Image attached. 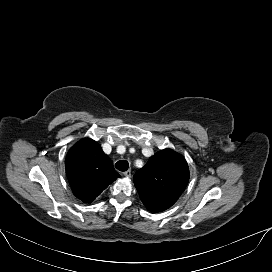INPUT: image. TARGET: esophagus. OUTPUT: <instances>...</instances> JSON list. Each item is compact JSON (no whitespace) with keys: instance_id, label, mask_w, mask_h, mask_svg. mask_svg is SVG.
<instances>
[{"instance_id":"1","label":"esophagus","mask_w":272,"mask_h":272,"mask_svg":"<svg viewBox=\"0 0 272 272\" xmlns=\"http://www.w3.org/2000/svg\"><path fill=\"white\" fill-rule=\"evenodd\" d=\"M124 176L127 177V178H130L131 177V170L125 171Z\"/></svg>"}]
</instances>
